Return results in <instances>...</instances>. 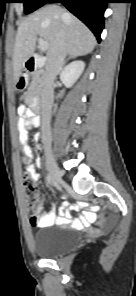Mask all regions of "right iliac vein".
I'll return each instance as SVG.
<instances>
[{"label":"right iliac vein","mask_w":136,"mask_h":296,"mask_svg":"<svg viewBox=\"0 0 136 296\" xmlns=\"http://www.w3.org/2000/svg\"><path fill=\"white\" fill-rule=\"evenodd\" d=\"M46 166L49 171L53 184L55 186H60V185L65 186V183L61 178L59 167L57 166L51 154H47L46 156Z\"/></svg>","instance_id":"obj_1"}]
</instances>
